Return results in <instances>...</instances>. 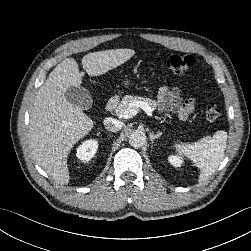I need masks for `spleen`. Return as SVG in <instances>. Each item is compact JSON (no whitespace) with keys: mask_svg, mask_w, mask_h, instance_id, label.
Segmentation results:
<instances>
[{"mask_svg":"<svg viewBox=\"0 0 251 251\" xmlns=\"http://www.w3.org/2000/svg\"><path fill=\"white\" fill-rule=\"evenodd\" d=\"M227 133L217 131L213 137H204L195 143H176L179 154L186 155L201 170L199 181L209 178L220 165L226 149Z\"/></svg>","mask_w":251,"mask_h":251,"instance_id":"obj_1","label":"spleen"}]
</instances>
